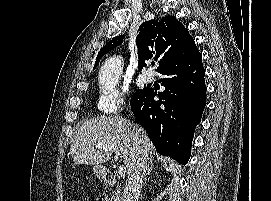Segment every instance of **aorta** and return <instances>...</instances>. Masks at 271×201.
Listing matches in <instances>:
<instances>
[{"label": "aorta", "mask_w": 271, "mask_h": 201, "mask_svg": "<svg viewBox=\"0 0 271 201\" xmlns=\"http://www.w3.org/2000/svg\"><path fill=\"white\" fill-rule=\"evenodd\" d=\"M122 71V59L119 56H114L106 60L102 67L104 82L109 85H114Z\"/></svg>", "instance_id": "aorta-1"}]
</instances>
